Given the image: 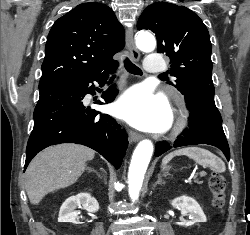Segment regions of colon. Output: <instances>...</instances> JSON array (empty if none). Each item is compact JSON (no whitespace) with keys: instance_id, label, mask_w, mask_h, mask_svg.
Listing matches in <instances>:
<instances>
[{"instance_id":"obj_1","label":"colon","mask_w":250,"mask_h":235,"mask_svg":"<svg viewBox=\"0 0 250 235\" xmlns=\"http://www.w3.org/2000/svg\"><path fill=\"white\" fill-rule=\"evenodd\" d=\"M209 188L212 193V203L216 208L222 207L225 201L226 181L221 174L215 173L209 179Z\"/></svg>"}]
</instances>
